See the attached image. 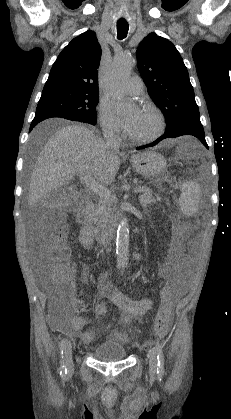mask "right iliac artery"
<instances>
[{
  "mask_svg": "<svg viewBox=\"0 0 231 419\" xmlns=\"http://www.w3.org/2000/svg\"><path fill=\"white\" fill-rule=\"evenodd\" d=\"M119 268H120V266H119ZM65 344H66V339L64 338L59 343L60 355H61L62 358H63V351H64ZM60 363H61V366H60V375L64 379L65 376H66V374H67V369H66V366L64 364V360L63 359H61Z\"/></svg>",
  "mask_w": 231,
  "mask_h": 419,
  "instance_id": "obj_1",
  "label": "right iliac artery"
}]
</instances>
